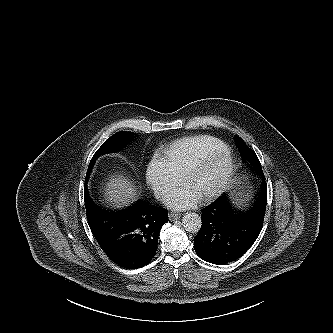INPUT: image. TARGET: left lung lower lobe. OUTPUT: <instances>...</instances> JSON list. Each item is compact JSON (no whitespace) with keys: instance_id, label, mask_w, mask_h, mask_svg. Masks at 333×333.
I'll return each mask as SVG.
<instances>
[{"instance_id":"1","label":"left lung lower lobe","mask_w":333,"mask_h":333,"mask_svg":"<svg viewBox=\"0 0 333 333\" xmlns=\"http://www.w3.org/2000/svg\"><path fill=\"white\" fill-rule=\"evenodd\" d=\"M261 177V193L251 207H236L225 193L201 209L202 225L194 238L195 252L201 259L224 265L240 258L254 244L267 205V185L264 175Z\"/></svg>"}]
</instances>
